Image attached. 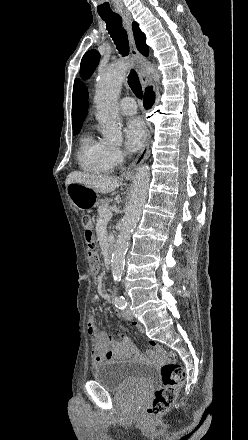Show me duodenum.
<instances>
[{
    "label": "duodenum",
    "mask_w": 248,
    "mask_h": 440,
    "mask_svg": "<svg viewBox=\"0 0 248 440\" xmlns=\"http://www.w3.org/2000/svg\"><path fill=\"white\" fill-rule=\"evenodd\" d=\"M114 250H115V245L113 242H110L108 245V248H107V253H106L108 265H110V263H111V258L114 253Z\"/></svg>",
    "instance_id": "obj_1"
}]
</instances>
